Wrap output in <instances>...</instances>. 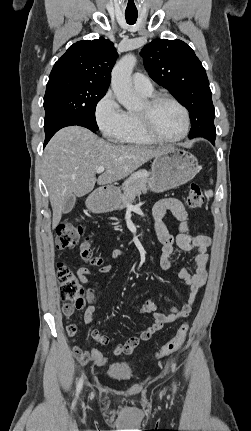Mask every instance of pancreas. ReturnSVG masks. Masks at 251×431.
Instances as JSON below:
<instances>
[{
  "label": "pancreas",
  "mask_w": 251,
  "mask_h": 431,
  "mask_svg": "<svg viewBox=\"0 0 251 431\" xmlns=\"http://www.w3.org/2000/svg\"><path fill=\"white\" fill-rule=\"evenodd\" d=\"M149 183V173L146 171H141L129 177L121 186L123 193L120 194L121 204L119 208H125L137 195H140L141 192H146Z\"/></svg>",
  "instance_id": "pancreas-1"
}]
</instances>
